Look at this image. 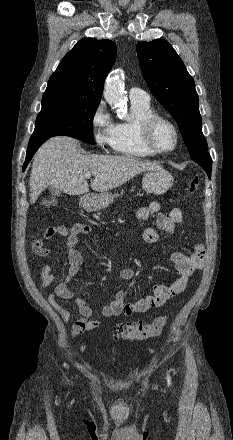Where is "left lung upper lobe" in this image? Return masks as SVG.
<instances>
[{
  "instance_id": "obj_1",
  "label": "left lung upper lobe",
  "mask_w": 233,
  "mask_h": 440,
  "mask_svg": "<svg viewBox=\"0 0 233 440\" xmlns=\"http://www.w3.org/2000/svg\"><path fill=\"white\" fill-rule=\"evenodd\" d=\"M137 54L149 89L176 120L191 159L211 158L202 133L195 83L181 58L162 39L139 42Z\"/></svg>"
}]
</instances>
